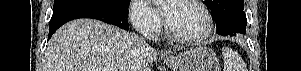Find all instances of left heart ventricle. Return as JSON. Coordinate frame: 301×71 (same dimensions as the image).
I'll return each instance as SVG.
<instances>
[{"label":"left heart ventricle","mask_w":301,"mask_h":71,"mask_svg":"<svg viewBox=\"0 0 301 71\" xmlns=\"http://www.w3.org/2000/svg\"><path fill=\"white\" fill-rule=\"evenodd\" d=\"M167 22L175 32L185 36L197 35L205 26L202 14L183 1L176 3L173 16Z\"/></svg>","instance_id":"1"}]
</instances>
